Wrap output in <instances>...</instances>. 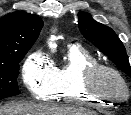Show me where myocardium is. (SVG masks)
Segmentation results:
<instances>
[{"mask_svg": "<svg viewBox=\"0 0 131 115\" xmlns=\"http://www.w3.org/2000/svg\"><path fill=\"white\" fill-rule=\"evenodd\" d=\"M104 73L114 76L120 82L122 86V92L120 94L104 92L98 87L97 79ZM81 88L90 95L109 101H117L128 96V85L120 72L101 63H96L84 69Z\"/></svg>", "mask_w": 131, "mask_h": 115, "instance_id": "f54148a6", "label": "myocardium"}]
</instances>
